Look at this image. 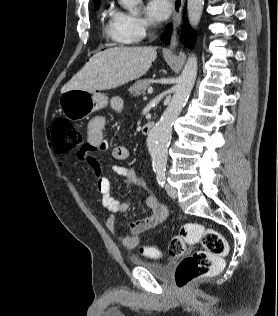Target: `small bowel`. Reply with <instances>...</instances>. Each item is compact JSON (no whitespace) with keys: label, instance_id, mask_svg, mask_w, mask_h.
I'll list each match as a JSON object with an SVG mask.
<instances>
[{"label":"small bowel","instance_id":"small-bowel-1","mask_svg":"<svg viewBox=\"0 0 278 316\" xmlns=\"http://www.w3.org/2000/svg\"><path fill=\"white\" fill-rule=\"evenodd\" d=\"M110 106L117 114L123 110V100L113 97ZM106 118L104 116L93 117L87 126V141L80 148L77 156L86 163L93 171L97 189L101 194L102 205L110 212L106 221V227L110 232L116 234L120 243L127 249H135L138 245L139 235L151 230L165 222L168 216V208L159 202L157 197L149 190L147 183L138 178L134 167L114 165L112 172L118 176L125 177L130 183L143 188L146 192L145 204L149 210V215L141 220H133L128 224L129 232L125 234L117 233L115 214L124 213L131 207V202H119L111 195V182L104 174L96 152L107 151L109 142L104 137ZM112 156L118 161L129 158V150L126 146L117 145L112 149Z\"/></svg>","mask_w":278,"mask_h":316}]
</instances>
